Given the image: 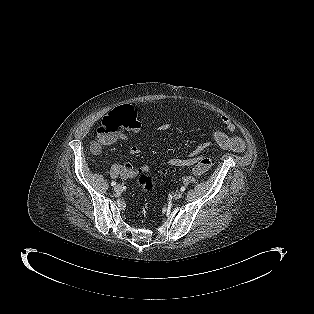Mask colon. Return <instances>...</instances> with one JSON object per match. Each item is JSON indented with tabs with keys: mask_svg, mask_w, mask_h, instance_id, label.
<instances>
[{
	"mask_svg": "<svg viewBox=\"0 0 314 314\" xmlns=\"http://www.w3.org/2000/svg\"><path fill=\"white\" fill-rule=\"evenodd\" d=\"M139 127L135 109L130 105H123L107 115L101 122L97 129L95 142L93 144L94 150L112 140V138L119 132L125 130H133ZM213 159L211 157H202L193 168L194 173L202 174L211 168ZM139 185L150 191L153 188V181L151 176L143 168L139 169Z\"/></svg>",
	"mask_w": 314,
	"mask_h": 314,
	"instance_id": "obj_1",
	"label": "colon"
}]
</instances>
